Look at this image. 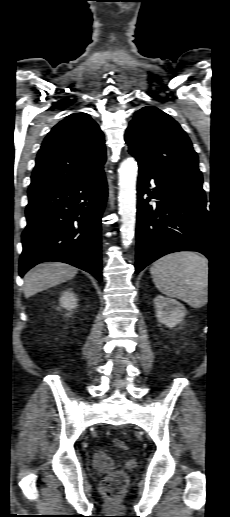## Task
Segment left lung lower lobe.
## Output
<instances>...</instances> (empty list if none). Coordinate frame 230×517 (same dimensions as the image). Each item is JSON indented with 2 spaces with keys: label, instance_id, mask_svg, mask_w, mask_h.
<instances>
[{
  "label": "left lung lower lobe",
  "instance_id": "obj_1",
  "mask_svg": "<svg viewBox=\"0 0 230 517\" xmlns=\"http://www.w3.org/2000/svg\"><path fill=\"white\" fill-rule=\"evenodd\" d=\"M151 179L156 185L153 191ZM137 187L136 273L178 251H197L211 259L202 183L180 181L139 166ZM144 194L149 195L146 200ZM151 198L157 199L156 208L148 204Z\"/></svg>",
  "mask_w": 230,
  "mask_h": 517
}]
</instances>
